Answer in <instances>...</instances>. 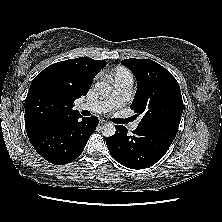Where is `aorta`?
<instances>
[{"mask_svg": "<svg viewBox=\"0 0 222 222\" xmlns=\"http://www.w3.org/2000/svg\"><path fill=\"white\" fill-rule=\"evenodd\" d=\"M95 88L102 95L106 96L111 93L113 87L106 81H100L95 84ZM116 128L113 123H106L102 127V134L105 137H111L115 134Z\"/></svg>", "mask_w": 222, "mask_h": 222, "instance_id": "1", "label": "aorta"}]
</instances>
